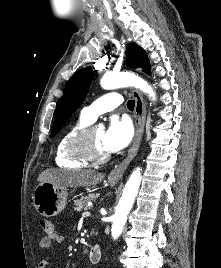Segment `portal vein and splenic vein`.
Returning <instances> with one entry per match:
<instances>
[{
	"mask_svg": "<svg viewBox=\"0 0 221 268\" xmlns=\"http://www.w3.org/2000/svg\"><path fill=\"white\" fill-rule=\"evenodd\" d=\"M90 214H91L90 211H85V212H83L82 217H88V216H90Z\"/></svg>",
	"mask_w": 221,
	"mask_h": 268,
	"instance_id": "1",
	"label": "portal vein and splenic vein"
}]
</instances>
